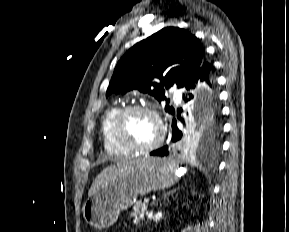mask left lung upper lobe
<instances>
[{
  "label": "left lung upper lobe",
  "instance_id": "left-lung-upper-lobe-1",
  "mask_svg": "<svg viewBox=\"0 0 289 232\" xmlns=\"http://www.w3.org/2000/svg\"><path fill=\"white\" fill-rule=\"evenodd\" d=\"M205 51L190 32L166 27L130 48L117 63L106 97L139 90L159 102L165 100V89L183 88L200 68ZM160 81V82H158ZM168 102V101H167ZM171 114L174 108L166 106ZM221 122L218 113L206 116L181 140L185 150L216 152L220 146Z\"/></svg>",
  "mask_w": 289,
  "mask_h": 232
}]
</instances>
